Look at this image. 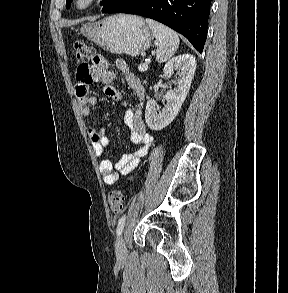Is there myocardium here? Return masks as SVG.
I'll return each mask as SVG.
<instances>
[{"label": "myocardium", "instance_id": "obj_1", "mask_svg": "<svg viewBox=\"0 0 288 293\" xmlns=\"http://www.w3.org/2000/svg\"><path fill=\"white\" fill-rule=\"evenodd\" d=\"M97 0H74L73 1V7L77 11H85L89 8H91Z\"/></svg>", "mask_w": 288, "mask_h": 293}]
</instances>
